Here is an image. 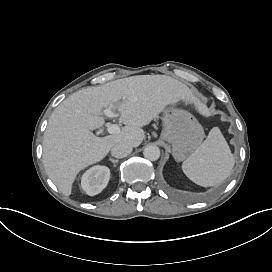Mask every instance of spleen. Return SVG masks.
<instances>
[{
    "label": "spleen",
    "mask_w": 272,
    "mask_h": 272,
    "mask_svg": "<svg viewBox=\"0 0 272 272\" xmlns=\"http://www.w3.org/2000/svg\"><path fill=\"white\" fill-rule=\"evenodd\" d=\"M234 157L220 130L212 128L206 139L182 163L184 174L208 187L222 183L232 172Z\"/></svg>",
    "instance_id": "1"
}]
</instances>
